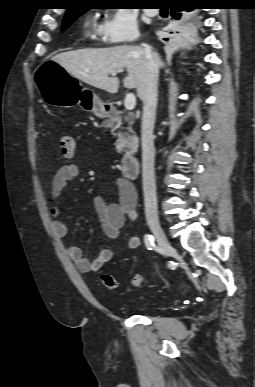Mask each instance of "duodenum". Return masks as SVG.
I'll return each mask as SVG.
<instances>
[{"mask_svg":"<svg viewBox=\"0 0 255 387\" xmlns=\"http://www.w3.org/2000/svg\"><path fill=\"white\" fill-rule=\"evenodd\" d=\"M106 114L115 119L119 117L118 112L113 108L106 110ZM121 168L125 177L135 179L140 173V161L136 155H127L122 159Z\"/></svg>","mask_w":255,"mask_h":387,"instance_id":"410a0bca","label":"duodenum"}]
</instances>
